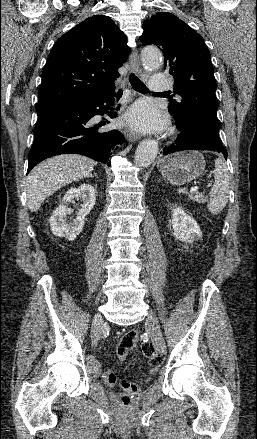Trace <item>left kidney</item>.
I'll list each match as a JSON object with an SVG mask.
<instances>
[{"label":"left kidney","instance_id":"1","mask_svg":"<svg viewBox=\"0 0 257 439\" xmlns=\"http://www.w3.org/2000/svg\"><path fill=\"white\" fill-rule=\"evenodd\" d=\"M172 226L174 235L183 242L192 243L201 238L202 232L197 222L185 213L182 208L173 209Z\"/></svg>","mask_w":257,"mask_h":439}]
</instances>
